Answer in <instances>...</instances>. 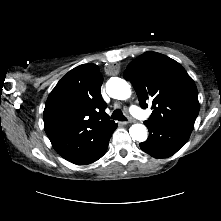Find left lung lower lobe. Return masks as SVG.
I'll use <instances>...</instances> for the list:
<instances>
[{"instance_id":"0a47b994","label":"left lung lower lobe","mask_w":221,"mask_h":221,"mask_svg":"<svg viewBox=\"0 0 221 221\" xmlns=\"http://www.w3.org/2000/svg\"><path fill=\"white\" fill-rule=\"evenodd\" d=\"M149 137L140 143L141 149L155 158H167L175 154L189 139L193 127L168 126L145 121Z\"/></svg>"}]
</instances>
